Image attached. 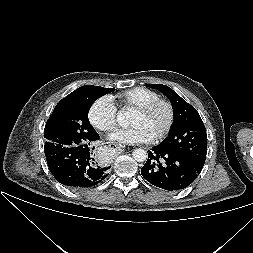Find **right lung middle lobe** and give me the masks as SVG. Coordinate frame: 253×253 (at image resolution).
Returning <instances> with one entry per match:
<instances>
[{"label":"right lung middle lobe","instance_id":"dd1d6c3e","mask_svg":"<svg viewBox=\"0 0 253 253\" xmlns=\"http://www.w3.org/2000/svg\"><path fill=\"white\" fill-rule=\"evenodd\" d=\"M113 90L86 85L63 98L45 125V156L92 141L95 130L88 120L89 108L96 99Z\"/></svg>","mask_w":253,"mask_h":253}]
</instances>
